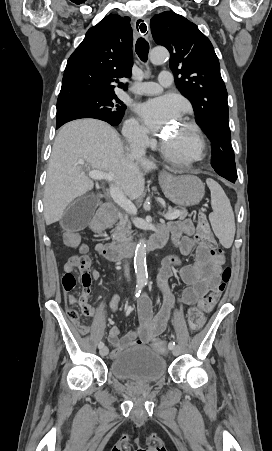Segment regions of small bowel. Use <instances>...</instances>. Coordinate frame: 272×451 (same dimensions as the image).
Wrapping results in <instances>:
<instances>
[{
  "label": "small bowel",
  "instance_id": "c3829d8e",
  "mask_svg": "<svg viewBox=\"0 0 272 451\" xmlns=\"http://www.w3.org/2000/svg\"><path fill=\"white\" fill-rule=\"evenodd\" d=\"M171 234L173 244L178 249V254L167 256L160 268L158 274V284L164 295V304L157 315L152 318L151 303L146 295H143L138 302V317L140 324L128 332L122 338L119 337V329L111 327L108 334V342L113 347L110 352V358L116 359L126 348L132 346L146 345L155 341L157 337L164 332L173 310V297L170 292L169 280L178 273L181 280L187 285L178 299L179 304L195 305L206 289L216 287L220 283V274L225 264V256L221 251L219 260L210 258V251L195 239V227L188 219L175 220L159 227L155 235H161L166 238ZM101 246L98 247V250ZM86 244L78 248V252H88ZM195 254V260L192 264L181 265V257ZM100 273L94 269L93 274H81L80 282L82 294L79 300H66L69 304H83L91 293V284L93 280L98 279ZM120 297L115 294L110 301L111 311H116L119 305ZM76 311L75 309H68ZM87 316L93 314L90 308Z\"/></svg>",
  "mask_w": 272,
  "mask_h": 451
}]
</instances>
